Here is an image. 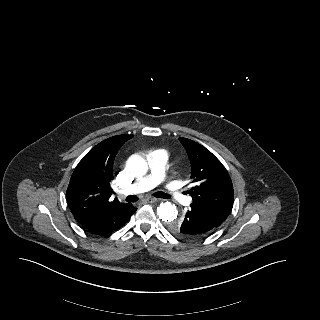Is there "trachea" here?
<instances>
[{
    "label": "trachea",
    "instance_id": "3493384b",
    "mask_svg": "<svg viewBox=\"0 0 320 320\" xmlns=\"http://www.w3.org/2000/svg\"><path fill=\"white\" fill-rule=\"evenodd\" d=\"M154 196L157 197V198H163V199L170 198V195H168V194H166L164 192H156V193H154ZM137 200H138L137 196H134V195L128 196L126 198L127 202H136Z\"/></svg>",
    "mask_w": 320,
    "mask_h": 320
}]
</instances>
